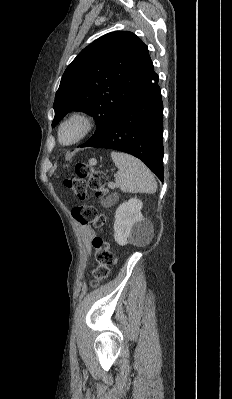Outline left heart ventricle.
<instances>
[{
    "label": "left heart ventricle",
    "instance_id": "b2bd125f",
    "mask_svg": "<svg viewBox=\"0 0 232 399\" xmlns=\"http://www.w3.org/2000/svg\"><path fill=\"white\" fill-rule=\"evenodd\" d=\"M83 125L80 121H73L67 124L62 130V140L64 142H70L74 140L82 131Z\"/></svg>",
    "mask_w": 232,
    "mask_h": 399
}]
</instances>
